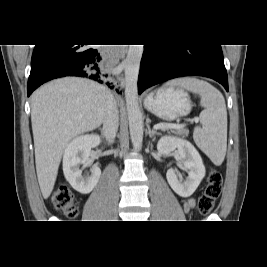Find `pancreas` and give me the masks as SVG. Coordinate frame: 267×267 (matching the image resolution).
<instances>
[{"label": "pancreas", "instance_id": "cf45deb5", "mask_svg": "<svg viewBox=\"0 0 267 267\" xmlns=\"http://www.w3.org/2000/svg\"><path fill=\"white\" fill-rule=\"evenodd\" d=\"M171 133L177 134V135H181V136H188L189 134V130L185 129V128H179V129H174L171 130Z\"/></svg>", "mask_w": 267, "mask_h": 267}]
</instances>
